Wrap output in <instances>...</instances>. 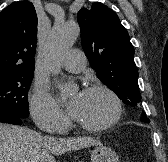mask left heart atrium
Returning a JSON list of instances; mask_svg holds the SVG:
<instances>
[{
    "label": "left heart atrium",
    "instance_id": "left-heart-atrium-1",
    "mask_svg": "<svg viewBox=\"0 0 168 162\" xmlns=\"http://www.w3.org/2000/svg\"><path fill=\"white\" fill-rule=\"evenodd\" d=\"M83 93L84 92L79 93L70 104V112L74 117H76L79 112Z\"/></svg>",
    "mask_w": 168,
    "mask_h": 162
}]
</instances>
